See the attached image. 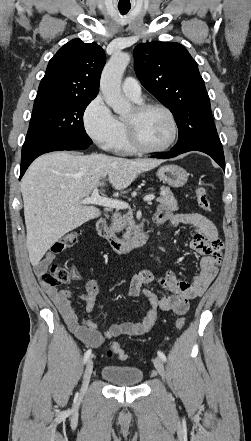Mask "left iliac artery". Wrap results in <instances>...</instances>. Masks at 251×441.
<instances>
[{"label":"left iliac artery","instance_id":"obj_1","mask_svg":"<svg viewBox=\"0 0 251 441\" xmlns=\"http://www.w3.org/2000/svg\"><path fill=\"white\" fill-rule=\"evenodd\" d=\"M157 354L162 359V361H164V362L166 361V356H165V354L163 352L158 351Z\"/></svg>","mask_w":251,"mask_h":441}]
</instances>
